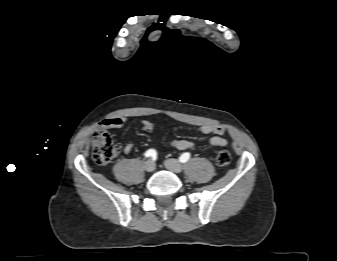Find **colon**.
Returning a JSON list of instances; mask_svg holds the SVG:
<instances>
[{
    "instance_id": "colon-1",
    "label": "colon",
    "mask_w": 337,
    "mask_h": 261,
    "mask_svg": "<svg viewBox=\"0 0 337 261\" xmlns=\"http://www.w3.org/2000/svg\"><path fill=\"white\" fill-rule=\"evenodd\" d=\"M116 153V146L107 132L98 131L94 134L92 140V157L99 165L109 163ZM231 161V155L227 150H221L217 153L216 163L218 166H227Z\"/></svg>"
}]
</instances>
